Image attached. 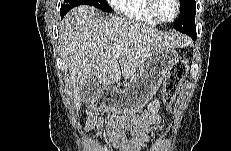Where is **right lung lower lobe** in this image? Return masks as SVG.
<instances>
[{
  "label": "right lung lower lobe",
  "mask_w": 231,
  "mask_h": 151,
  "mask_svg": "<svg viewBox=\"0 0 231 151\" xmlns=\"http://www.w3.org/2000/svg\"><path fill=\"white\" fill-rule=\"evenodd\" d=\"M70 9L68 7H61L60 12H61V16L62 18L64 17V15L69 11Z\"/></svg>",
  "instance_id": "1"
}]
</instances>
